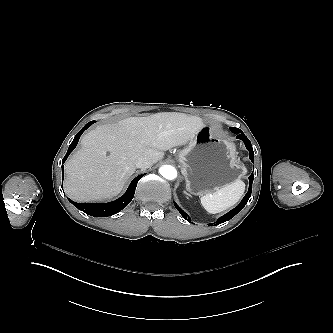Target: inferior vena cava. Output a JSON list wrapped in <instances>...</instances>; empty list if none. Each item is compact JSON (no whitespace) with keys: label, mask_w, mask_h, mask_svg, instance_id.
Wrapping results in <instances>:
<instances>
[{"label":"inferior vena cava","mask_w":333,"mask_h":333,"mask_svg":"<svg viewBox=\"0 0 333 333\" xmlns=\"http://www.w3.org/2000/svg\"><path fill=\"white\" fill-rule=\"evenodd\" d=\"M152 165L149 158L143 156L136 161V166L139 168H148Z\"/></svg>","instance_id":"1"}]
</instances>
